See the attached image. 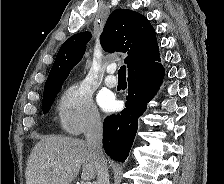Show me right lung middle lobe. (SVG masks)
Wrapping results in <instances>:
<instances>
[{
	"label": "right lung middle lobe",
	"mask_w": 224,
	"mask_h": 184,
	"mask_svg": "<svg viewBox=\"0 0 224 184\" xmlns=\"http://www.w3.org/2000/svg\"><path fill=\"white\" fill-rule=\"evenodd\" d=\"M59 90L60 89H58V90H56L54 92H51V93L43 95L42 109H43V113L44 114H46L50 110V108H51V106L53 104V101H54V99L56 97V94L59 92Z\"/></svg>",
	"instance_id": "1"
}]
</instances>
